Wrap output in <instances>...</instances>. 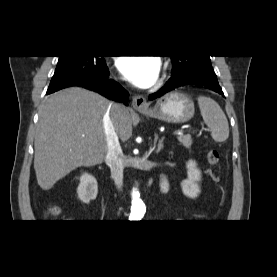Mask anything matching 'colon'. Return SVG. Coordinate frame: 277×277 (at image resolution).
<instances>
[{"label": "colon", "instance_id": "5ec220e1", "mask_svg": "<svg viewBox=\"0 0 277 277\" xmlns=\"http://www.w3.org/2000/svg\"><path fill=\"white\" fill-rule=\"evenodd\" d=\"M219 158H220L219 153L216 150H212L208 154V159L212 164L218 163ZM57 213H58L57 208H51L50 209V214L55 215Z\"/></svg>", "mask_w": 277, "mask_h": 277}]
</instances>
